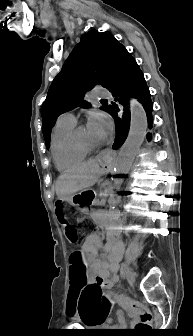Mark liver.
Returning <instances> with one entry per match:
<instances>
[{
	"instance_id": "1",
	"label": "liver",
	"mask_w": 193,
	"mask_h": 336,
	"mask_svg": "<svg viewBox=\"0 0 193 336\" xmlns=\"http://www.w3.org/2000/svg\"><path fill=\"white\" fill-rule=\"evenodd\" d=\"M103 173L105 171L99 165V158L74 166L58 177L56 195L62 201H70L72 195L96 184Z\"/></svg>"
}]
</instances>
